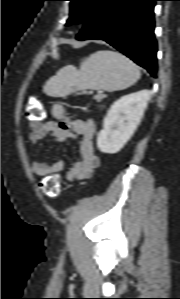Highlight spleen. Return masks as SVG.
<instances>
[{
    "label": "spleen",
    "mask_w": 180,
    "mask_h": 299,
    "mask_svg": "<svg viewBox=\"0 0 180 299\" xmlns=\"http://www.w3.org/2000/svg\"><path fill=\"white\" fill-rule=\"evenodd\" d=\"M140 78L138 66L119 52L101 50L81 61L79 69L67 65L51 77L45 92L52 97H65L86 89L108 92L124 90Z\"/></svg>",
    "instance_id": "spleen-1"
}]
</instances>
